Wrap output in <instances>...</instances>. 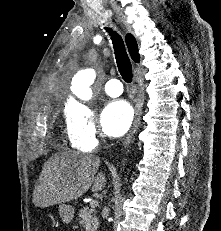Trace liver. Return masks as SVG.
<instances>
[{
	"label": "liver",
	"mask_w": 221,
	"mask_h": 231,
	"mask_svg": "<svg viewBox=\"0 0 221 231\" xmlns=\"http://www.w3.org/2000/svg\"><path fill=\"white\" fill-rule=\"evenodd\" d=\"M100 158L92 154L64 151L52 155L45 163L33 193V203L46 208L81 197L92 187L101 190L106 183L98 173Z\"/></svg>",
	"instance_id": "1"
}]
</instances>
